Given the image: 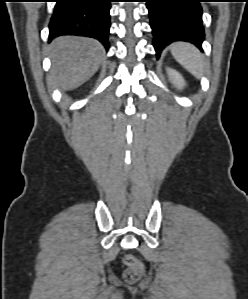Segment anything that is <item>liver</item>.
<instances>
[{
	"label": "liver",
	"mask_w": 248,
	"mask_h": 299,
	"mask_svg": "<svg viewBox=\"0 0 248 299\" xmlns=\"http://www.w3.org/2000/svg\"><path fill=\"white\" fill-rule=\"evenodd\" d=\"M51 77L63 90H72L86 82L99 68L104 48L95 39L61 36L50 45Z\"/></svg>",
	"instance_id": "1"
}]
</instances>
